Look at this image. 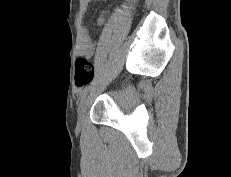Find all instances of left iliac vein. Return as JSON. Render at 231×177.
<instances>
[{
	"label": "left iliac vein",
	"mask_w": 231,
	"mask_h": 177,
	"mask_svg": "<svg viewBox=\"0 0 231 177\" xmlns=\"http://www.w3.org/2000/svg\"><path fill=\"white\" fill-rule=\"evenodd\" d=\"M87 106H88V97L85 96L78 107V127H82L83 123H84V118H85V113L87 110Z\"/></svg>",
	"instance_id": "left-iliac-vein-1"
}]
</instances>
